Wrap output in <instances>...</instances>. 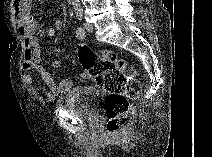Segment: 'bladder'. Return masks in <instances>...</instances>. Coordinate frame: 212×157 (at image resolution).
I'll return each instance as SVG.
<instances>
[{
    "instance_id": "bladder-1",
    "label": "bladder",
    "mask_w": 212,
    "mask_h": 157,
    "mask_svg": "<svg viewBox=\"0 0 212 157\" xmlns=\"http://www.w3.org/2000/svg\"><path fill=\"white\" fill-rule=\"evenodd\" d=\"M105 98V93L93 86H77L72 88L57 102V106L94 121L99 116L97 105Z\"/></svg>"
}]
</instances>
